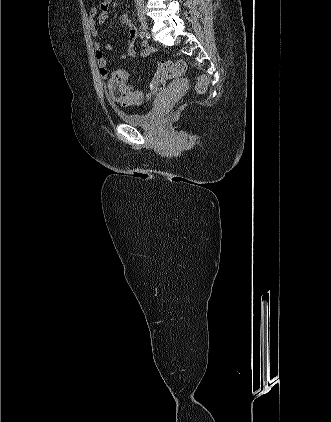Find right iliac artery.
<instances>
[{"label": "right iliac artery", "mask_w": 331, "mask_h": 422, "mask_svg": "<svg viewBox=\"0 0 331 422\" xmlns=\"http://www.w3.org/2000/svg\"><path fill=\"white\" fill-rule=\"evenodd\" d=\"M139 36H140V38H144L145 32L143 30H139Z\"/></svg>", "instance_id": "1"}]
</instances>
